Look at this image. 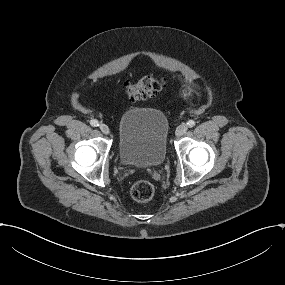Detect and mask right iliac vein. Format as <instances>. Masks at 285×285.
Here are the masks:
<instances>
[{"label": "right iliac vein", "instance_id": "obj_1", "mask_svg": "<svg viewBox=\"0 0 285 285\" xmlns=\"http://www.w3.org/2000/svg\"><path fill=\"white\" fill-rule=\"evenodd\" d=\"M99 129L102 133H104L105 135H108L110 133V128L108 127V125L106 124H100L99 125Z\"/></svg>", "mask_w": 285, "mask_h": 285}]
</instances>
